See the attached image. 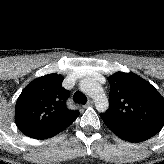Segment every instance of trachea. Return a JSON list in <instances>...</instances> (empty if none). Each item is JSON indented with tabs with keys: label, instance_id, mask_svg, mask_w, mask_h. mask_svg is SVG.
Here are the masks:
<instances>
[{
	"label": "trachea",
	"instance_id": "obj_1",
	"mask_svg": "<svg viewBox=\"0 0 164 164\" xmlns=\"http://www.w3.org/2000/svg\"><path fill=\"white\" fill-rule=\"evenodd\" d=\"M73 99L76 103L80 104H85L87 102V97L80 91L74 93Z\"/></svg>",
	"mask_w": 164,
	"mask_h": 164
}]
</instances>
